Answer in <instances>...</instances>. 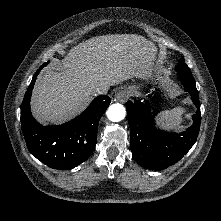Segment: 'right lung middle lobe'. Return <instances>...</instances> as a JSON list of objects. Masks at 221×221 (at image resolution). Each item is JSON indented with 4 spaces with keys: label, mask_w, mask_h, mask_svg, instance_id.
I'll return each instance as SVG.
<instances>
[{
    "label": "right lung middle lobe",
    "mask_w": 221,
    "mask_h": 221,
    "mask_svg": "<svg viewBox=\"0 0 221 221\" xmlns=\"http://www.w3.org/2000/svg\"><path fill=\"white\" fill-rule=\"evenodd\" d=\"M49 62H47V63H44L40 68H42V67H44V66H46L47 64H48Z\"/></svg>",
    "instance_id": "obj_1"
}]
</instances>
